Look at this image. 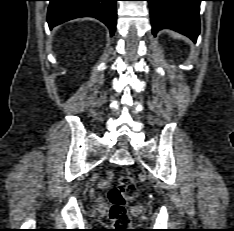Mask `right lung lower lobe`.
Segmentation results:
<instances>
[{
	"label": "right lung lower lobe",
	"mask_w": 234,
	"mask_h": 231,
	"mask_svg": "<svg viewBox=\"0 0 234 231\" xmlns=\"http://www.w3.org/2000/svg\"><path fill=\"white\" fill-rule=\"evenodd\" d=\"M47 21L52 28L79 17H94L102 21L113 35L116 28L117 0H49Z\"/></svg>",
	"instance_id": "98d812e1"
}]
</instances>
